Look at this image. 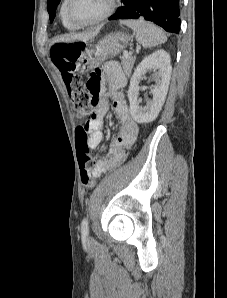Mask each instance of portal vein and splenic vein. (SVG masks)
Segmentation results:
<instances>
[{"mask_svg": "<svg viewBox=\"0 0 227 298\" xmlns=\"http://www.w3.org/2000/svg\"><path fill=\"white\" fill-rule=\"evenodd\" d=\"M130 54H131V53L128 52V51H124V52H123V56H124L125 58L129 57Z\"/></svg>", "mask_w": 227, "mask_h": 298, "instance_id": "obj_1", "label": "portal vein and splenic vein"}]
</instances>
